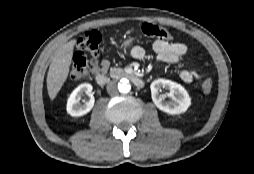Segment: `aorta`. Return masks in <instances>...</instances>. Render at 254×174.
<instances>
[{
  "instance_id": "aorta-1",
  "label": "aorta",
  "mask_w": 254,
  "mask_h": 174,
  "mask_svg": "<svg viewBox=\"0 0 254 174\" xmlns=\"http://www.w3.org/2000/svg\"><path fill=\"white\" fill-rule=\"evenodd\" d=\"M118 90L121 93H128L131 90L129 80L126 78L121 79L118 83Z\"/></svg>"
}]
</instances>
